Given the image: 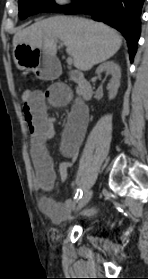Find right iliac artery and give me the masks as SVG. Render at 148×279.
<instances>
[{
	"label": "right iliac artery",
	"mask_w": 148,
	"mask_h": 279,
	"mask_svg": "<svg viewBox=\"0 0 148 279\" xmlns=\"http://www.w3.org/2000/svg\"><path fill=\"white\" fill-rule=\"evenodd\" d=\"M82 195H83L82 189H77V192L74 197L73 205L76 204L82 198Z\"/></svg>",
	"instance_id": "82829eb1"
}]
</instances>
